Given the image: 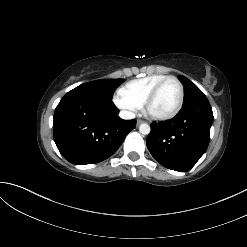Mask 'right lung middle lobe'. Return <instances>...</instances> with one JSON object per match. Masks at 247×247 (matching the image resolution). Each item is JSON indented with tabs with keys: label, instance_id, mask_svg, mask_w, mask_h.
I'll list each match as a JSON object with an SVG mask.
<instances>
[{
	"label": "right lung middle lobe",
	"instance_id": "dd1d6c3e",
	"mask_svg": "<svg viewBox=\"0 0 247 247\" xmlns=\"http://www.w3.org/2000/svg\"><path fill=\"white\" fill-rule=\"evenodd\" d=\"M125 80L124 79H101L84 83L68 93H77L87 96H97L112 100L114 90Z\"/></svg>",
	"mask_w": 247,
	"mask_h": 247
}]
</instances>
